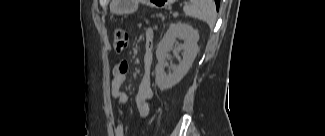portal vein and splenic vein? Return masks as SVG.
<instances>
[{
  "label": "portal vein and splenic vein",
  "instance_id": "18ae733b",
  "mask_svg": "<svg viewBox=\"0 0 325 136\" xmlns=\"http://www.w3.org/2000/svg\"><path fill=\"white\" fill-rule=\"evenodd\" d=\"M173 16H178V13H177V12H174V13H173Z\"/></svg>",
  "mask_w": 325,
  "mask_h": 136
}]
</instances>
